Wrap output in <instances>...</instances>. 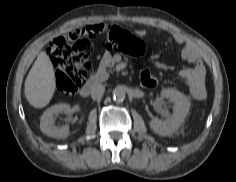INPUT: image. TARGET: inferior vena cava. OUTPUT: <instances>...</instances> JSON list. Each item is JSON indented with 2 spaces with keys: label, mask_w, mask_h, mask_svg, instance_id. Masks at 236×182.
<instances>
[{
  "label": "inferior vena cava",
  "mask_w": 236,
  "mask_h": 182,
  "mask_svg": "<svg viewBox=\"0 0 236 182\" xmlns=\"http://www.w3.org/2000/svg\"><path fill=\"white\" fill-rule=\"evenodd\" d=\"M105 91V86L102 84H96L91 89V97L93 99H99Z\"/></svg>",
  "instance_id": "inferior-vena-cava-1"
}]
</instances>
